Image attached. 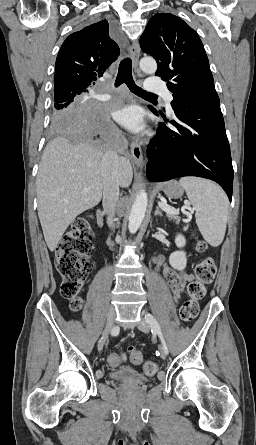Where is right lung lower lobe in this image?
<instances>
[{"label": "right lung lower lobe", "mask_w": 256, "mask_h": 445, "mask_svg": "<svg viewBox=\"0 0 256 445\" xmlns=\"http://www.w3.org/2000/svg\"><path fill=\"white\" fill-rule=\"evenodd\" d=\"M72 127L78 129L82 138L97 139L96 144L104 149L123 153L126 143L111 121L104 105L88 100L83 102L74 112ZM97 137V138H96Z\"/></svg>", "instance_id": "right-lung-lower-lobe-1"}]
</instances>
